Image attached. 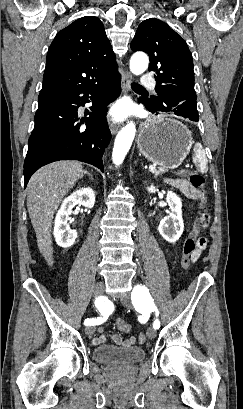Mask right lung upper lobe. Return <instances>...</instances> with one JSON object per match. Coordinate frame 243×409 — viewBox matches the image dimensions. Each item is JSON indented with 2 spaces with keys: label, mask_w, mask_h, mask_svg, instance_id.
Returning <instances> with one entry per match:
<instances>
[{
  "label": "right lung upper lobe",
  "mask_w": 243,
  "mask_h": 409,
  "mask_svg": "<svg viewBox=\"0 0 243 409\" xmlns=\"http://www.w3.org/2000/svg\"><path fill=\"white\" fill-rule=\"evenodd\" d=\"M117 71L102 22L85 16L61 30L51 43L40 94L96 83Z\"/></svg>",
  "instance_id": "obj_1"
}]
</instances>
